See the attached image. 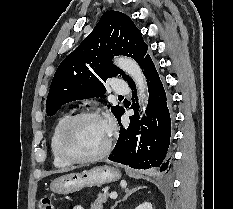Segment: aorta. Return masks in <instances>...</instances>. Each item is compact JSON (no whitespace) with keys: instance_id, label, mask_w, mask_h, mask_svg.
I'll use <instances>...</instances> for the list:
<instances>
[{"instance_id":"obj_1","label":"aorta","mask_w":233,"mask_h":209,"mask_svg":"<svg viewBox=\"0 0 233 209\" xmlns=\"http://www.w3.org/2000/svg\"><path fill=\"white\" fill-rule=\"evenodd\" d=\"M114 63L134 80L137 87L141 111L144 110L147 102L148 91L146 79L140 66L133 59L123 56L115 58Z\"/></svg>"}]
</instances>
